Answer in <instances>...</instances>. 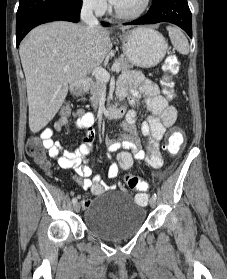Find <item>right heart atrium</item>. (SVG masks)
Returning a JSON list of instances; mask_svg holds the SVG:
<instances>
[{"mask_svg":"<svg viewBox=\"0 0 227 279\" xmlns=\"http://www.w3.org/2000/svg\"><path fill=\"white\" fill-rule=\"evenodd\" d=\"M83 5L97 14H103L107 9L106 0H82Z\"/></svg>","mask_w":227,"mask_h":279,"instance_id":"right-heart-atrium-1","label":"right heart atrium"}]
</instances>
